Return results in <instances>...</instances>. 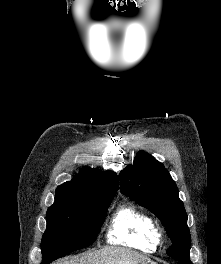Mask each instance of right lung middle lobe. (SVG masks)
I'll return each mask as SVG.
<instances>
[{
    "label": "right lung middle lobe",
    "mask_w": 221,
    "mask_h": 264,
    "mask_svg": "<svg viewBox=\"0 0 221 264\" xmlns=\"http://www.w3.org/2000/svg\"><path fill=\"white\" fill-rule=\"evenodd\" d=\"M114 196L96 197L78 205L53 204L47 210L42 237V264L94 243Z\"/></svg>",
    "instance_id": "obj_1"
}]
</instances>
